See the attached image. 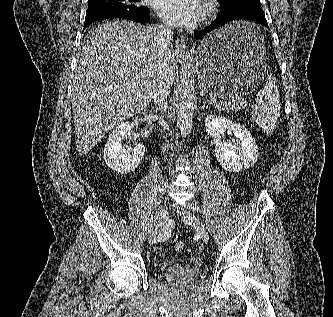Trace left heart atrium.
Here are the masks:
<instances>
[{"label":"left heart atrium","mask_w":333,"mask_h":317,"mask_svg":"<svg viewBox=\"0 0 333 317\" xmlns=\"http://www.w3.org/2000/svg\"><path fill=\"white\" fill-rule=\"evenodd\" d=\"M157 13L166 22L176 26H189L202 14L201 0H156Z\"/></svg>","instance_id":"left-heart-atrium-1"}]
</instances>
